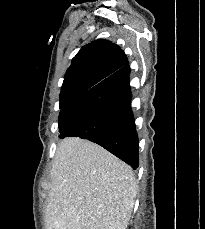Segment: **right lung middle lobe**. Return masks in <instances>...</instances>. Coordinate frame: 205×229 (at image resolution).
I'll return each mask as SVG.
<instances>
[{
    "label": "right lung middle lobe",
    "instance_id": "right-lung-middle-lobe-1",
    "mask_svg": "<svg viewBox=\"0 0 205 229\" xmlns=\"http://www.w3.org/2000/svg\"><path fill=\"white\" fill-rule=\"evenodd\" d=\"M75 100V99H74ZM74 100H65L63 102H60V109H63L67 107L70 103H72Z\"/></svg>",
    "mask_w": 205,
    "mask_h": 229
}]
</instances>
